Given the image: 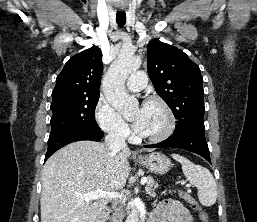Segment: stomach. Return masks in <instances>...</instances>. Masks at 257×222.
<instances>
[{"label": "stomach", "mask_w": 257, "mask_h": 222, "mask_svg": "<svg viewBox=\"0 0 257 222\" xmlns=\"http://www.w3.org/2000/svg\"><path fill=\"white\" fill-rule=\"evenodd\" d=\"M139 163L155 174L167 173L172 164L170 159L162 153H152L148 156L139 157Z\"/></svg>", "instance_id": "stomach-1"}]
</instances>
